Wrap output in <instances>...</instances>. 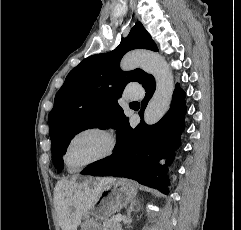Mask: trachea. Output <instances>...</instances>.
I'll return each instance as SVG.
<instances>
[{
    "instance_id": "3493384b",
    "label": "trachea",
    "mask_w": 241,
    "mask_h": 230,
    "mask_svg": "<svg viewBox=\"0 0 241 230\" xmlns=\"http://www.w3.org/2000/svg\"><path fill=\"white\" fill-rule=\"evenodd\" d=\"M133 103L139 104L138 102H133Z\"/></svg>"
}]
</instances>
